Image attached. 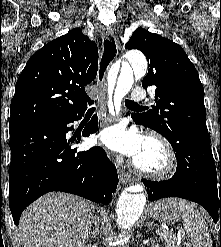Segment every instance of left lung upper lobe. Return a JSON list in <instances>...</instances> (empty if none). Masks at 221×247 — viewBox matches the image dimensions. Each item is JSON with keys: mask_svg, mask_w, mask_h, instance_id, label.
I'll list each match as a JSON object with an SVG mask.
<instances>
[{"mask_svg": "<svg viewBox=\"0 0 221 247\" xmlns=\"http://www.w3.org/2000/svg\"><path fill=\"white\" fill-rule=\"evenodd\" d=\"M125 48L144 53L150 68L142 86H156L154 110L138 114V121L164 136L174 149L208 134L204 88L181 46L140 27Z\"/></svg>", "mask_w": 221, "mask_h": 247, "instance_id": "left-lung-upper-lobe-1", "label": "left lung upper lobe"}]
</instances>
